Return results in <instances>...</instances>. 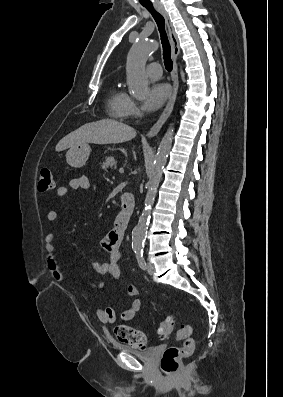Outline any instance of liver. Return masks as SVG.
Returning a JSON list of instances; mask_svg holds the SVG:
<instances>
[{
  "label": "liver",
  "mask_w": 283,
  "mask_h": 397,
  "mask_svg": "<svg viewBox=\"0 0 283 397\" xmlns=\"http://www.w3.org/2000/svg\"><path fill=\"white\" fill-rule=\"evenodd\" d=\"M134 128L112 119H102L84 124L63 137L56 145L57 152L76 147L84 143L117 144L133 139Z\"/></svg>",
  "instance_id": "6515ba94"
}]
</instances>
